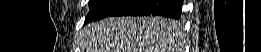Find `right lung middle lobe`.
<instances>
[{
	"label": "right lung middle lobe",
	"mask_w": 261,
	"mask_h": 52,
	"mask_svg": "<svg viewBox=\"0 0 261 52\" xmlns=\"http://www.w3.org/2000/svg\"><path fill=\"white\" fill-rule=\"evenodd\" d=\"M106 0H90L89 1V6H90V9L93 10L95 8H97L98 6H100L101 4H103ZM90 10V11H91ZM172 22H175L173 20H171ZM176 23V22H175ZM177 24V23H176Z\"/></svg>",
	"instance_id": "dd1d6c3e"
}]
</instances>
